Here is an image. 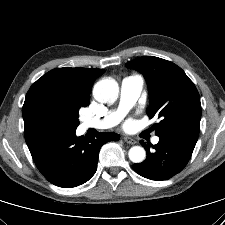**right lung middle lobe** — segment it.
<instances>
[{
  "label": "right lung middle lobe",
  "instance_id": "obj_1",
  "mask_svg": "<svg viewBox=\"0 0 225 225\" xmlns=\"http://www.w3.org/2000/svg\"><path fill=\"white\" fill-rule=\"evenodd\" d=\"M88 101L89 97L46 92L33 101L30 118L40 128L75 131L79 125V109L86 107Z\"/></svg>",
  "mask_w": 225,
  "mask_h": 225
}]
</instances>
